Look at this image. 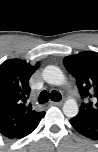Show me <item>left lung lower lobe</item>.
<instances>
[{"label": "left lung lower lobe", "mask_w": 98, "mask_h": 152, "mask_svg": "<svg viewBox=\"0 0 98 152\" xmlns=\"http://www.w3.org/2000/svg\"><path fill=\"white\" fill-rule=\"evenodd\" d=\"M70 123L83 136L98 139V123L77 117L71 118Z\"/></svg>", "instance_id": "0a47b994"}]
</instances>
